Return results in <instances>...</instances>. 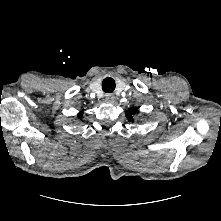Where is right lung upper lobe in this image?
I'll return each mask as SVG.
<instances>
[{
	"label": "right lung upper lobe",
	"mask_w": 221,
	"mask_h": 221,
	"mask_svg": "<svg viewBox=\"0 0 221 221\" xmlns=\"http://www.w3.org/2000/svg\"><path fill=\"white\" fill-rule=\"evenodd\" d=\"M81 116H82V114L79 113V114H78V117H81Z\"/></svg>",
	"instance_id": "cb5924a9"
}]
</instances>
